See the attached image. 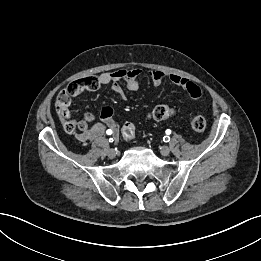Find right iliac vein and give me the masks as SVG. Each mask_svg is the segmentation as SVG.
I'll list each match as a JSON object with an SVG mask.
<instances>
[{
    "mask_svg": "<svg viewBox=\"0 0 261 261\" xmlns=\"http://www.w3.org/2000/svg\"><path fill=\"white\" fill-rule=\"evenodd\" d=\"M107 154H108L109 158H114L116 156L117 152L114 149H109Z\"/></svg>",
    "mask_w": 261,
    "mask_h": 261,
    "instance_id": "1",
    "label": "right iliac vein"
}]
</instances>
